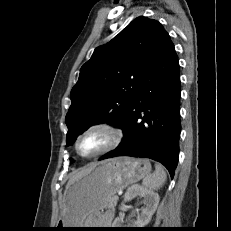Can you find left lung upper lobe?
I'll list each match as a JSON object with an SVG mask.
<instances>
[{
    "instance_id": "left-lung-upper-lobe-1",
    "label": "left lung upper lobe",
    "mask_w": 231,
    "mask_h": 231,
    "mask_svg": "<svg viewBox=\"0 0 231 231\" xmlns=\"http://www.w3.org/2000/svg\"><path fill=\"white\" fill-rule=\"evenodd\" d=\"M167 36L158 21L141 16L94 50L71 90L67 145L93 124L121 125Z\"/></svg>"
}]
</instances>
